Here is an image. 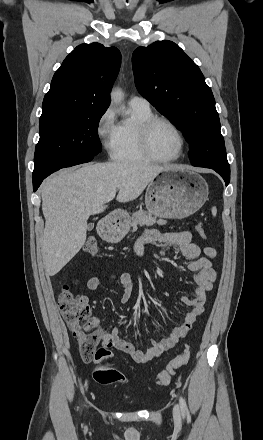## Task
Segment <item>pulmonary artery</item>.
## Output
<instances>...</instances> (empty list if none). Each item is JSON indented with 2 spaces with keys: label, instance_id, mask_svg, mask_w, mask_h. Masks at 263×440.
Segmentation results:
<instances>
[{
  "label": "pulmonary artery",
  "instance_id": "e3ab8cb5",
  "mask_svg": "<svg viewBox=\"0 0 263 440\" xmlns=\"http://www.w3.org/2000/svg\"><path fill=\"white\" fill-rule=\"evenodd\" d=\"M129 104L134 107L148 108L150 107L149 101L142 96H132L129 100Z\"/></svg>",
  "mask_w": 263,
  "mask_h": 440
}]
</instances>
